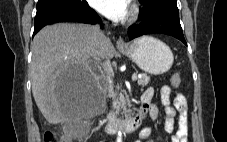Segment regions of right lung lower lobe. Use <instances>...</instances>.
I'll list each match as a JSON object with an SVG mask.
<instances>
[{
    "mask_svg": "<svg viewBox=\"0 0 227 142\" xmlns=\"http://www.w3.org/2000/svg\"><path fill=\"white\" fill-rule=\"evenodd\" d=\"M65 21L96 24L101 23V18L89 7L86 1L76 6H59L37 10L33 35L48 24ZM101 28H103V25H101Z\"/></svg>",
    "mask_w": 227,
    "mask_h": 142,
    "instance_id": "98d812e1",
    "label": "right lung lower lobe"
}]
</instances>
